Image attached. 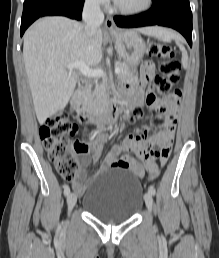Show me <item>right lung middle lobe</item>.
Returning <instances> with one entry per match:
<instances>
[{"label":"right lung middle lobe","mask_w":219,"mask_h":258,"mask_svg":"<svg viewBox=\"0 0 219 258\" xmlns=\"http://www.w3.org/2000/svg\"><path fill=\"white\" fill-rule=\"evenodd\" d=\"M29 1H31V0H25V2H24V3H27V2H29Z\"/></svg>","instance_id":"dd1d6c3e"}]
</instances>
